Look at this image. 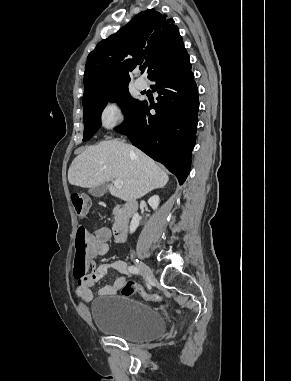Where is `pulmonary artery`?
Segmentation results:
<instances>
[{"mask_svg": "<svg viewBox=\"0 0 291 381\" xmlns=\"http://www.w3.org/2000/svg\"><path fill=\"white\" fill-rule=\"evenodd\" d=\"M135 86L139 90H144L147 87V83L144 79L138 78L135 80Z\"/></svg>", "mask_w": 291, "mask_h": 381, "instance_id": "obj_1", "label": "pulmonary artery"}]
</instances>
